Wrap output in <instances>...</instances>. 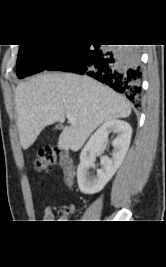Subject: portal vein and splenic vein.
I'll return each instance as SVG.
<instances>
[{
    "label": "portal vein and splenic vein",
    "instance_id": "18ae733b",
    "mask_svg": "<svg viewBox=\"0 0 166 267\" xmlns=\"http://www.w3.org/2000/svg\"><path fill=\"white\" fill-rule=\"evenodd\" d=\"M66 117L71 124H76V118L73 115L67 114Z\"/></svg>",
    "mask_w": 166,
    "mask_h": 267
}]
</instances>
